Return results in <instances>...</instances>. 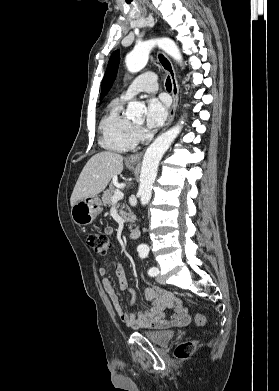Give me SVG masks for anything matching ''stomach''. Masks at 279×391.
Returning <instances> with one entry per match:
<instances>
[{
	"instance_id": "obj_1",
	"label": "stomach",
	"mask_w": 279,
	"mask_h": 391,
	"mask_svg": "<svg viewBox=\"0 0 279 391\" xmlns=\"http://www.w3.org/2000/svg\"><path fill=\"white\" fill-rule=\"evenodd\" d=\"M103 211L98 196L88 197L77 202L71 209L72 220L78 225H88Z\"/></svg>"
}]
</instances>
